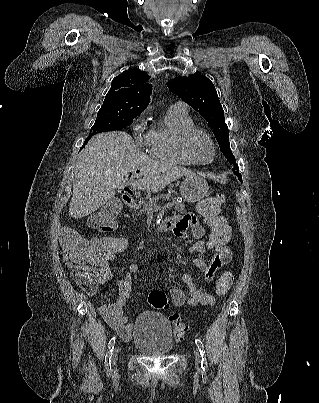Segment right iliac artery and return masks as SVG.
<instances>
[{
    "mask_svg": "<svg viewBox=\"0 0 319 403\" xmlns=\"http://www.w3.org/2000/svg\"><path fill=\"white\" fill-rule=\"evenodd\" d=\"M115 344H116V336H113L108 343V349H107V353L105 356V368L108 371L111 370V357H112V353H113Z\"/></svg>",
    "mask_w": 319,
    "mask_h": 403,
    "instance_id": "right-iliac-artery-1",
    "label": "right iliac artery"
}]
</instances>
